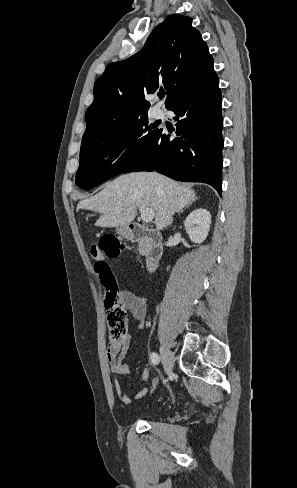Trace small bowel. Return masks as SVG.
<instances>
[{
	"label": "small bowel",
	"instance_id": "small-bowel-1",
	"mask_svg": "<svg viewBox=\"0 0 297 488\" xmlns=\"http://www.w3.org/2000/svg\"><path fill=\"white\" fill-rule=\"evenodd\" d=\"M123 306L132 314L133 318L137 321L138 328L142 331L145 327V317L147 313V299L143 295L135 294L128 290H122L119 292ZM130 347V336L127 334L121 343V347L118 350H114L111 343L107 349V360L109 368L114 377L127 375L130 373V365L123 363L128 349ZM150 378L148 369L142 372L141 379L147 382ZM114 387L116 394L123 404L129 405L135 400L143 398L148 389L143 388L138 391L133 397H129L124 394L120 382L115 378Z\"/></svg>",
	"mask_w": 297,
	"mask_h": 488
}]
</instances>
